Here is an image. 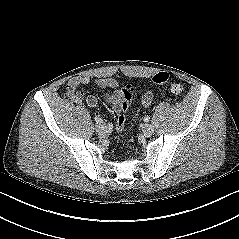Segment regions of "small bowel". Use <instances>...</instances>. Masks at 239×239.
Wrapping results in <instances>:
<instances>
[{
	"label": "small bowel",
	"mask_w": 239,
	"mask_h": 239,
	"mask_svg": "<svg viewBox=\"0 0 239 239\" xmlns=\"http://www.w3.org/2000/svg\"><path fill=\"white\" fill-rule=\"evenodd\" d=\"M90 82V78L87 76H79L75 77L70 81V85H73L74 87H79L81 85H86ZM97 85L101 89L107 90L111 89L112 92H108L105 95V100L107 103H109L115 113L121 112V104H122V93L118 89L119 84L118 82L113 78H101L97 80ZM152 102V96L150 94H146L142 98V104L144 106H149ZM86 103L90 107H95L98 103V99L95 95H88L86 98Z\"/></svg>",
	"instance_id": "obj_1"
}]
</instances>
